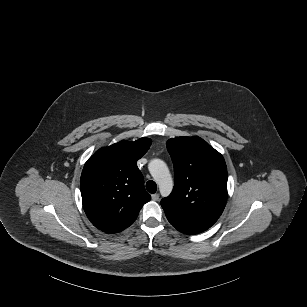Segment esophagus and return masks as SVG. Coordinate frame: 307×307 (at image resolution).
Masks as SVG:
<instances>
[{
	"instance_id": "obj_1",
	"label": "esophagus",
	"mask_w": 307,
	"mask_h": 307,
	"mask_svg": "<svg viewBox=\"0 0 307 307\" xmlns=\"http://www.w3.org/2000/svg\"><path fill=\"white\" fill-rule=\"evenodd\" d=\"M151 197H152V200H153V201L159 200V194H158V193L152 194Z\"/></svg>"
}]
</instances>
